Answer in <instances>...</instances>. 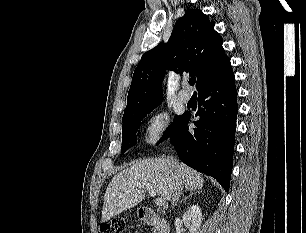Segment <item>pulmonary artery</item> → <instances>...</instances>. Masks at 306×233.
<instances>
[{"mask_svg":"<svg viewBox=\"0 0 306 233\" xmlns=\"http://www.w3.org/2000/svg\"><path fill=\"white\" fill-rule=\"evenodd\" d=\"M187 86H188V83L184 82L183 83V89L178 94L179 100L182 103H185V104L188 103L190 101V98H191V95H190L189 91L187 90Z\"/></svg>","mask_w":306,"mask_h":233,"instance_id":"pulmonary-artery-1","label":"pulmonary artery"}]
</instances>
